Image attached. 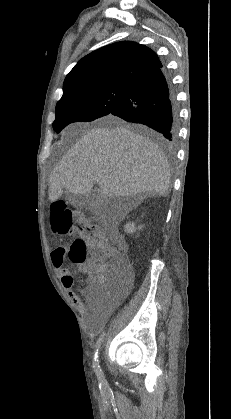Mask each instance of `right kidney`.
I'll return each instance as SVG.
<instances>
[{
	"instance_id": "1",
	"label": "right kidney",
	"mask_w": 231,
	"mask_h": 419,
	"mask_svg": "<svg viewBox=\"0 0 231 419\" xmlns=\"http://www.w3.org/2000/svg\"><path fill=\"white\" fill-rule=\"evenodd\" d=\"M143 227H144L143 225H140V226L136 227L135 223L132 222V223H127L125 225L124 229H125V232H127V233H134L137 229L141 230Z\"/></svg>"
}]
</instances>
